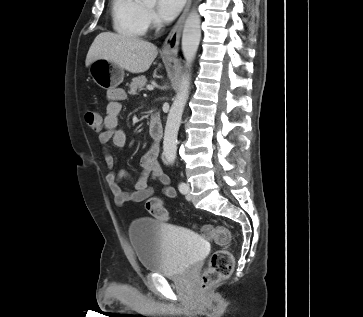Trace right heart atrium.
Instances as JSON below:
<instances>
[{"instance_id": "right-heart-atrium-1", "label": "right heart atrium", "mask_w": 363, "mask_h": 317, "mask_svg": "<svg viewBox=\"0 0 363 317\" xmlns=\"http://www.w3.org/2000/svg\"><path fill=\"white\" fill-rule=\"evenodd\" d=\"M148 20L153 25H157V23H158L156 16L152 12L148 13Z\"/></svg>"}]
</instances>
